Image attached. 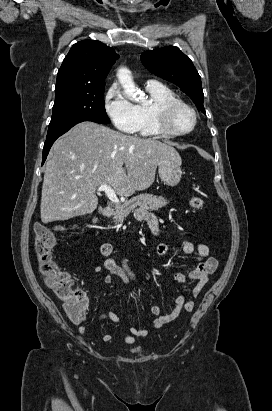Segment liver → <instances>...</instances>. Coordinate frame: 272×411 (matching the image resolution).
Segmentation results:
<instances>
[{
  "mask_svg": "<svg viewBox=\"0 0 272 411\" xmlns=\"http://www.w3.org/2000/svg\"><path fill=\"white\" fill-rule=\"evenodd\" d=\"M181 163L176 149L158 140L128 136L93 122L76 124L53 144L41 197L43 223L91 214L97 185L120 196L149 188L160 161Z\"/></svg>",
  "mask_w": 272,
  "mask_h": 411,
  "instance_id": "liver-1",
  "label": "liver"
}]
</instances>
